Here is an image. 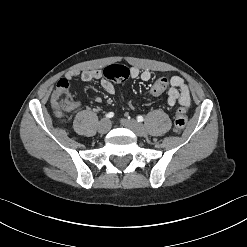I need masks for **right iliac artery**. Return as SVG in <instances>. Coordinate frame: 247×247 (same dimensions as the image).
<instances>
[{
  "mask_svg": "<svg viewBox=\"0 0 247 247\" xmlns=\"http://www.w3.org/2000/svg\"><path fill=\"white\" fill-rule=\"evenodd\" d=\"M114 116L113 112H109L106 114V118H112Z\"/></svg>",
  "mask_w": 247,
  "mask_h": 247,
  "instance_id": "1",
  "label": "right iliac artery"
}]
</instances>
